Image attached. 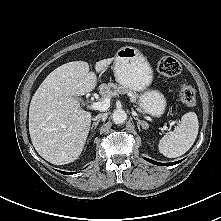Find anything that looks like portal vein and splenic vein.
<instances>
[{"instance_id": "1", "label": "portal vein and splenic vein", "mask_w": 221, "mask_h": 221, "mask_svg": "<svg viewBox=\"0 0 221 221\" xmlns=\"http://www.w3.org/2000/svg\"><path fill=\"white\" fill-rule=\"evenodd\" d=\"M110 107V98H104L102 101L99 102H93L89 108L92 110H99V111H105ZM177 121H172L170 123V127L174 124H177Z\"/></svg>"}]
</instances>
